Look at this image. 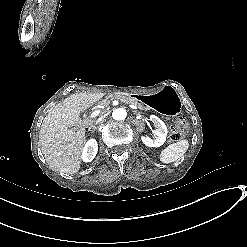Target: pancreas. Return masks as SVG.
Returning <instances> with one entry per match:
<instances>
[{
  "label": "pancreas",
  "mask_w": 247,
  "mask_h": 247,
  "mask_svg": "<svg viewBox=\"0 0 247 247\" xmlns=\"http://www.w3.org/2000/svg\"><path fill=\"white\" fill-rule=\"evenodd\" d=\"M119 99V100H124L126 103L129 104H133L139 108H142V110L144 112H147L149 110V105L146 102H142L141 100H137L136 98H132L131 96L124 94V93H111L110 95H106L104 97V99L101 100V103H104L105 101H107L109 98L111 100H114L115 98ZM95 109H97V107H94L91 109V111H94Z\"/></svg>",
  "instance_id": "cf45deb5"
}]
</instances>
